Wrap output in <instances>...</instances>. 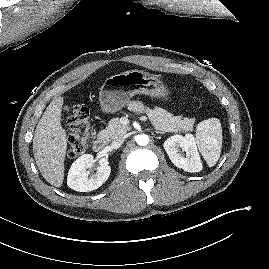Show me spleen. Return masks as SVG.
<instances>
[{"label": "spleen", "mask_w": 269, "mask_h": 269, "mask_svg": "<svg viewBox=\"0 0 269 269\" xmlns=\"http://www.w3.org/2000/svg\"><path fill=\"white\" fill-rule=\"evenodd\" d=\"M196 142L209 167L220 158L222 148V127L220 120L209 118L200 122L196 128Z\"/></svg>", "instance_id": "obj_1"}]
</instances>
